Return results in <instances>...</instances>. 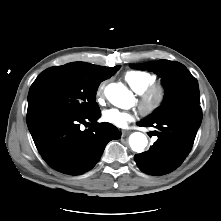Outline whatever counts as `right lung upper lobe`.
<instances>
[{
    "label": "right lung upper lobe",
    "instance_id": "obj_1",
    "mask_svg": "<svg viewBox=\"0 0 221 221\" xmlns=\"http://www.w3.org/2000/svg\"><path fill=\"white\" fill-rule=\"evenodd\" d=\"M59 67L72 70L77 74L82 75L88 79L100 82L110 78L120 68V66L109 68L104 66L93 65L86 62H72Z\"/></svg>",
    "mask_w": 221,
    "mask_h": 221
}]
</instances>
